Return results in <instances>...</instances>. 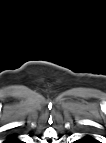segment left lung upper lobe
<instances>
[{"label": "left lung upper lobe", "instance_id": "5c2ea615", "mask_svg": "<svg viewBox=\"0 0 106 143\" xmlns=\"http://www.w3.org/2000/svg\"><path fill=\"white\" fill-rule=\"evenodd\" d=\"M90 140H91V142H93L94 141V139L92 138V137H89V136H87Z\"/></svg>", "mask_w": 106, "mask_h": 143}]
</instances>
